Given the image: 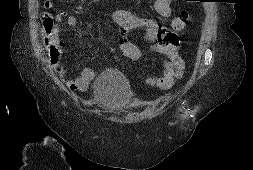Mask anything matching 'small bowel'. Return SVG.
I'll return each mask as SVG.
<instances>
[{"label":"small bowel","instance_id":"c3829d8e","mask_svg":"<svg viewBox=\"0 0 253 170\" xmlns=\"http://www.w3.org/2000/svg\"><path fill=\"white\" fill-rule=\"evenodd\" d=\"M172 1L173 0H155L154 8L156 12L162 17H169L172 13ZM44 5L49 10L53 9L51 0H46ZM65 18H67L69 26L76 27L78 25V18L75 15H67L65 11H61L56 15L54 28L50 34H47V38L58 40V32ZM111 19L120 29L121 37L119 40V47L127 58L135 61L142 57V51L127 38L128 33L133 30H143L145 39L151 43V50L165 57L163 61V76L147 78L146 82L148 84L161 89H169L177 79L182 78L185 63L178 53L180 40L174 32L168 30L159 20L136 17L123 9L113 10ZM178 22H181L183 26L176 27V23ZM184 26L185 21H181L180 17H176L172 20L171 27L173 31H180ZM76 35L83 36V32L76 29ZM53 69L65 80L66 86L71 90L86 91L89 83L96 76L94 70L89 67H83L76 77L66 79V70L59 62L53 63Z\"/></svg>","mask_w":253,"mask_h":170}]
</instances>
